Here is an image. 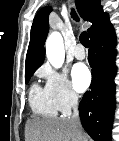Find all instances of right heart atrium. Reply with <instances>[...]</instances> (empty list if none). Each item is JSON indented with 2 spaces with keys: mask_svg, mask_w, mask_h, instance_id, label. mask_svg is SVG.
<instances>
[{
  "mask_svg": "<svg viewBox=\"0 0 119 141\" xmlns=\"http://www.w3.org/2000/svg\"><path fill=\"white\" fill-rule=\"evenodd\" d=\"M39 75L45 79V89L58 111L67 112L78 103V95L65 74L44 66Z\"/></svg>",
  "mask_w": 119,
  "mask_h": 141,
  "instance_id": "d8ad5b80",
  "label": "right heart atrium"
}]
</instances>
